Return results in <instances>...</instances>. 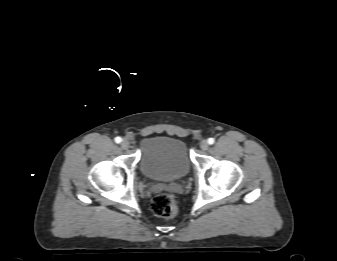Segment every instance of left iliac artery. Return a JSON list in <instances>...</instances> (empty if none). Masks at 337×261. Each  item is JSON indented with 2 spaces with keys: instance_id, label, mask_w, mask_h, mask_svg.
I'll list each match as a JSON object with an SVG mask.
<instances>
[{
  "instance_id": "44dca946",
  "label": "left iliac artery",
  "mask_w": 337,
  "mask_h": 261,
  "mask_svg": "<svg viewBox=\"0 0 337 261\" xmlns=\"http://www.w3.org/2000/svg\"><path fill=\"white\" fill-rule=\"evenodd\" d=\"M214 142H215L214 138H209V139H208V143H209L210 145L214 144Z\"/></svg>"
}]
</instances>
